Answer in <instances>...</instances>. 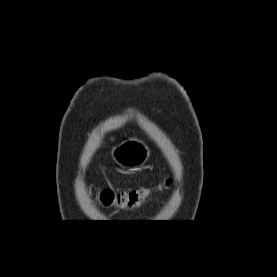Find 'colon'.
I'll return each instance as SVG.
<instances>
[{
    "instance_id": "obj_1",
    "label": "colon",
    "mask_w": 277,
    "mask_h": 277,
    "mask_svg": "<svg viewBox=\"0 0 277 277\" xmlns=\"http://www.w3.org/2000/svg\"><path fill=\"white\" fill-rule=\"evenodd\" d=\"M148 192L144 189L114 191L104 189L99 193L100 202L108 207L136 208L143 204Z\"/></svg>"
}]
</instances>
